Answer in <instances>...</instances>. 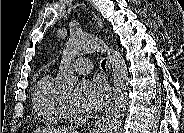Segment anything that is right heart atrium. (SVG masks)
<instances>
[{
    "instance_id": "right-heart-atrium-1",
    "label": "right heart atrium",
    "mask_w": 184,
    "mask_h": 133,
    "mask_svg": "<svg viewBox=\"0 0 184 133\" xmlns=\"http://www.w3.org/2000/svg\"><path fill=\"white\" fill-rule=\"evenodd\" d=\"M64 115L65 117H71L74 114L73 107L68 99H64Z\"/></svg>"
}]
</instances>
